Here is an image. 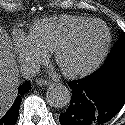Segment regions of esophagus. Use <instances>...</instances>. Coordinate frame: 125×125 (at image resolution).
Masks as SVG:
<instances>
[{
	"label": "esophagus",
	"mask_w": 125,
	"mask_h": 125,
	"mask_svg": "<svg viewBox=\"0 0 125 125\" xmlns=\"http://www.w3.org/2000/svg\"><path fill=\"white\" fill-rule=\"evenodd\" d=\"M36 84L39 85V86H47V85H49L50 83H49L48 81H46V80L38 79V80L36 81Z\"/></svg>",
	"instance_id": "esophagus-1"
}]
</instances>
